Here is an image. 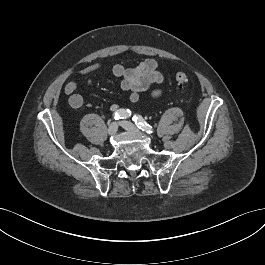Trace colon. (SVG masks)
<instances>
[{
    "label": "colon",
    "instance_id": "1",
    "mask_svg": "<svg viewBox=\"0 0 265 265\" xmlns=\"http://www.w3.org/2000/svg\"><path fill=\"white\" fill-rule=\"evenodd\" d=\"M175 80L179 88H184L189 84V77L186 73L183 72L177 73Z\"/></svg>",
    "mask_w": 265,
    "mask_h": 265
}]
</instances>
